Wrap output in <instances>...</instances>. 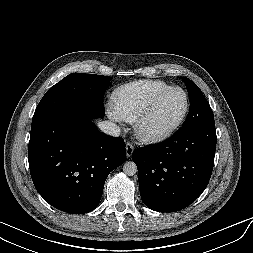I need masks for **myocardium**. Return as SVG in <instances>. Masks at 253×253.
<instances>
[{
	"instance_id": "obj_1",
	"label": "myocardium",
	"mask_w": 253,
	"mask_h": 253,
	"mask_svg": "<svg viewBox=\"0 0 253 253\" xmlns=\"http://www.w3.org/2000/svg\"><path fill=\"white\" fill-rule=\"evenodd\" d=\"M172 91L182 92L184 99H185L184 109H183L180 117L177 119V121L172 126H170L169 128H167L163 131H159V132L148 131L145 128V124H146L148 118L151 116L152 112L154 111V109L157 106V104L159 103V101L165 95H167L168 93H170ZM189 107H190L189 96L183 88H181L179 86H170V87L166 88L165 90L156 94L151 99V101L149 102L147 107L144 109V111L142 112L140 117L137 119V121L135 123V128H134L136 135L138 136V138L140 140H142L143 142H146V143H157V142H161V141L168 139L181 127V125L185 121L186 116L189 112Z\"/></svg>"
}]
</instances>
